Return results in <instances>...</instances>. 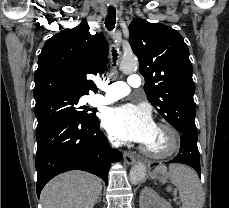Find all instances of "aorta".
Here are the masks:
<instances>
[{
    "label": "aorta",
    "mask_w": 229,
    "mask_h": 208,
    "mask_svg": "<svg viewBox=\"0 0 229 208\" xmlns=\"http://www.w3.org/2000/svg\"><path fill=\"white\" fill-rule=\"evenodd\" d=\"M138 62L133 57H125L122 59L120 69L124 73H132L137 69ZM146 175V166L142 163L134 165L129 173V179L132 184L141 182Z\"/></svg>",
    "instance_id": "762f6f07"
}]
</instances>
